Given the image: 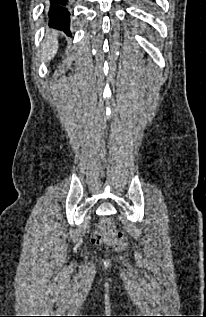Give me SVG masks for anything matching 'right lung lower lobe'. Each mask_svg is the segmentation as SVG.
<instances>
[{
  "mask_svg": "<svg viewBox=\"0 0 206 317\" xmlns=\"http://www.w3.org/2000/svg\"><path fill=\"white\" fill-rule=\"evenodd\" d=\"M50 7L48 16L49 25L58 29H63L70 35V12L68 11L69 0H49Z\"/></svg>",
  "mask_w": 206,
  "mask_h": 317,
  "instance_id": "1",
  "label": "right lung lower lobe"
}]
</instances>
